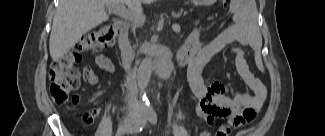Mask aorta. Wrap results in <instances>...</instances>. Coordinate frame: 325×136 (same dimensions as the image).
<instances>
[{"label": "aorta", "instance_id": "762f6f07", "mask_svg": "<svg viewBox=\"0 0 325 136\" xmlns=\"http://www.w3.org/2000/svg\"><path fill=\"white\" fill-rule=\"evenodd\" d=\"M152 58L151 56H146L141 64L139 65L137 71V85L140 93V108L143 113H152L153 109L150 102L146 96V88L149 84L151 73H152Z\"/></svg>", "mask_w": 325, "mask_h": 136}]
</instances>
